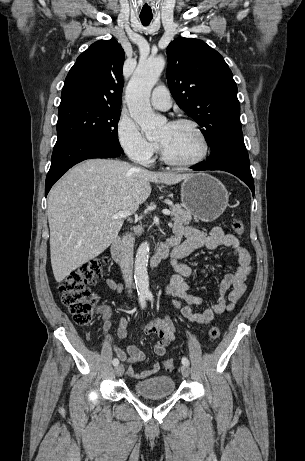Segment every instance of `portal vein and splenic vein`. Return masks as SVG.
Masks as SVG:
<instances>
[{
    "instance_id": "18ae733b",
    "label": "portal vein and splenic vein",
    "mask_w": 305,
    "mask_h": 461,
    "mask_svg": "<svg viewBox=\"0 0 305 461\" xmlns=\"http://www.w3.org/2000/svg\"><path fill=\"white\" fill-rule=\"evenodd\" d=\"M162 212L164 215H167V216L171 215V212L167 209L163 210ZM132 214L133 212L120 211L117 214L113 215L112 218H126Z\"/></svg>"
}]
</instances>
